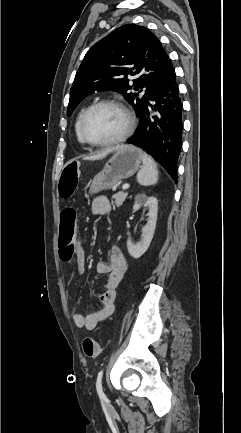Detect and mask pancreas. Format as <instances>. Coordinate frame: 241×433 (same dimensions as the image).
Segmentation results:
<instances>
[{
  "label": "pancreas",
  "instance_id": "pancreas-1",
  "mask_svg": "<svg viewBox=\"0 0 241 433\" xmlns=\"http://www.w3.org/2000/svg\"><path fill=\"white\" fill-rule=\"evenodd\" d=\"M127 195H128L127 192H118V193L114 194L112 196V199H113L112 205L120 207L123 204V202L125 201Z\"/></svg>",
  "mask_w": 241,
  "mask_h": 433
}]
</instances>
